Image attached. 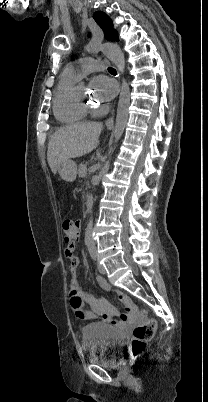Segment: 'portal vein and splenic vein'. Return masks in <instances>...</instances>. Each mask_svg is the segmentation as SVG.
Returning <instances> with one entry per match:
<instances>
[{
  "label": "portal vein and splenic vein",
  "instance_id": "1",
  "mask_svg": "<svg viewBox=\"0 0 208 402\" xmlns=\"http://www.w3.org/2000/svg\"><path fill=\"white\" fill-rule=\"evenodd\" d=\"M85 166H86V163H83V165L80 166V169H81V170H84V169H85Z\"/></svg>",
  "mask_w": 208,
  "mask_h": 402
}]
</instances>
